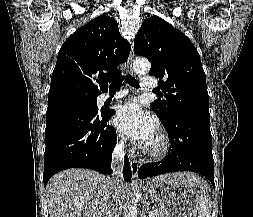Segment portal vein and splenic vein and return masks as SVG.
I'll list each match as a JSON object with an SVG mask.
<instances>
[{
	"label": "portal vein and splenic vein",
	"instance_id": "18ae733b",
	"mask_svg": "<svg viewBox=\"0 0 253 217\" xmlns=\"http://www.w3.org/2000/svg\"><path fill=\"white\" fill-rule=\"evenodd\" d=\"M156 215V211L155 210H151L149 213V217H155Z\"/></svg>",
	"mask_w": 253,
	"mask_h": 217
}]
</instances>
